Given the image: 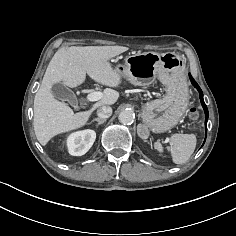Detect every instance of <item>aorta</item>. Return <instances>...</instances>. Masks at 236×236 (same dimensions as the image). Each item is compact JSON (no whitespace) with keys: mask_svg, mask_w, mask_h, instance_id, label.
<instances>
[{"mask_svg":"<svg viewBox=\"0 0 236 236\" xmlns=\"http://www.w3.org/2000/svg\"><path fill=\"white\" fill-rule=\"evenodd\" d=\"M135 115L131 110H123L119 114V121L124 125H130L133 123Z\"/></svg>","mask_w":236,"mask_h":236,"instance_id":"obj_1","label":"aorta"}]
</instances>
